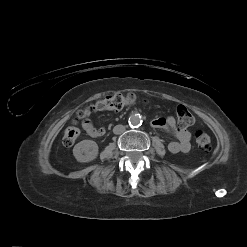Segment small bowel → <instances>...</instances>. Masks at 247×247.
<instances>
[{
    "label": "small bowel",
    "instance_id": "c3829d8e",
    "mask_svg": "<svg viewBox=\"0 0 247 247\" xmlns=\"http://www.w3.org/2000/svg\"><path fill=\"white\" fill-rule=\"evenodd\" d=\"M151 124L154 128L164 129L167 132L172 133L176 137V141H171L168 144V150L171 153H186L190 150L191 134L185 128L178 127L174 117H158L154 119ZM82 128L89 136L93 138L101 137L106 132V129L104 127H95L88 118L83 120Z\"/></svg>",
    "mask_w": 247,
    "mask_h": 247
}]
</instances>
